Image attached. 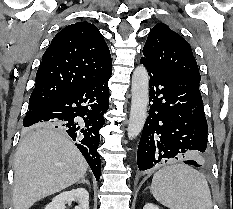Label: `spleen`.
<instances>
[{
  "label": "spleen",
  "mask_w": 233,
  "mask_h": 209,
  "mask_svg": "<svg viewBox=\"0 0 233 209\" xmlns=\"http://www.w3.org/2000/svg\"><path fill=\"white\" fill-rule=\"evenodd\" d=\"M151 192L170 209H212L207 180L199 171L184 164L166 166L156 172Z\"/></svg>",
  "instance_id": "spleen-1"
}]
</instances>
